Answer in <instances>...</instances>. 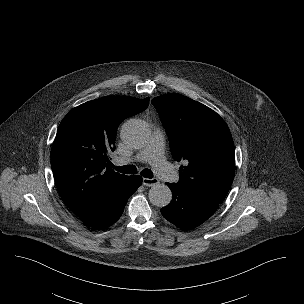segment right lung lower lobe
Wrapping results in <instances>:
<instances>
[{
    "label": "right lung lower lobe",
    "mask_w": 304,
    "mask_h": 304,
    "mask_svg": "<svg viewBox=\"0 0 304 304\" xmlns=\"http://www.w3.org/2000/svg\"><path fill=\"white\" fill-rule=\"evenodd\" d=\"M142 184L141 176H125L115 183L106 196L90 212L80 217L81 220L97 229H104L114 224L122 215L128 198Z\"/></svg>",
    "instance_id": "1"
}]
</instances>
